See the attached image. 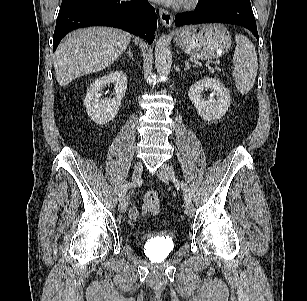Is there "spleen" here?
Segmentation results:
<instances>
[{"instance_id": "1", "label": "spleen", "mask_w": 307, "mask_h": 301, "mask_svg": "<svg viewBox=\"0 0 307 301\" xmlns=\"http://www.w3.org/2000/svg\"><path fill=\"white\" fill-rule=\"evenodd\" d=\"M233 77L237 90L247 94L253 87L258 70V60L253 43L244 35H235Z\"/></svg>"}]
</instances>
